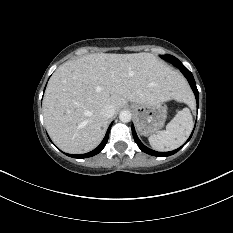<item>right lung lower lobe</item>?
<instances>
[{
	"instance_id": "98d812e1",
	"label": "right lung lower lobe",
	"mask_w": 233,
	"mask_h": 233,
	"mask_svg": "<svg viewBox=\"0 0 233 233\" xmlns=\"http://www.w3.org/2000/svg\"><path fill=\"white\" fill-rule=\"evenodd\" d=\"M111 126H112V124L109 126L103 141L93 151H91L89 153H86V154H80V155H71V154H67V155L70 156V157H73V158H87V157H91V156H94V155L98 154L99 152H101L103 150V148L105 147V145H106V143L108 141L109 131H110Z\"/></svg>"
}]
</instances>
